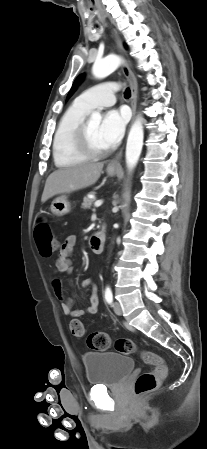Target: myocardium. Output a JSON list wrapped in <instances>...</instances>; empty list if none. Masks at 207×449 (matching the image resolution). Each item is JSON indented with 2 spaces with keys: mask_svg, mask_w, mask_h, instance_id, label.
Returning <instances> with one entry per match:
<instances>
[{
  "mask_svg": "<svg viewBox=\"0 0 207 449\" xmlns=\"http://www.w3.org/2000/svg\"><path fill=\"white\" fill-rule=\"evenodd\" d=\"M74 148L79 154L87 159L101 158L109 152L108 148L100 150L91 145L86 121H82L75 131Z\"/></svg>",
  "mask_w": 207,
  "mask_h": 449,
  "instance_id": "1",
  "label": "myocardium"
}]
</instances>
